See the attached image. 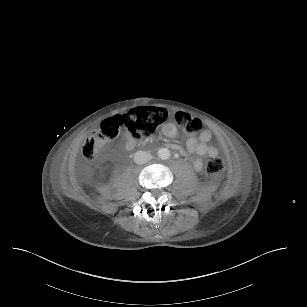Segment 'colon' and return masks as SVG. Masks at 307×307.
I'll use <instances>...</instances> for the list:
<instances>
[{
    "label": "colon",
    "instance_id": "obj_1",
    "mask_svg": "<svg viewBox=\"0 0 307 307\" xmlns=\"http://www.w3.org/2000/svg\"><path fill=\"white\" fill-rule=\"evenodd\" d=\"M168 118L169 113L164 108L138 107L124 115H116L104 120L84 141L81 149L82 157L85 160H92L103 144L116 138L120 132H126L134 138L147 137ZM174 118L189 135L199 134L202 130V122L186 112L178 111ZM223 169L224 161L218 155H212L206 162L208 175L217 176Z\"/></svg>",
    "mask_w": 307,
    "mask_h": 307
}]
</instances>
